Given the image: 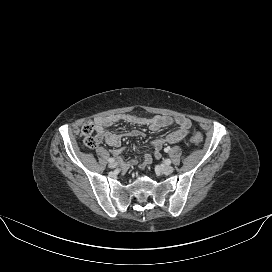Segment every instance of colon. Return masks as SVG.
<instances>
[{
	"instance_id": "obj_1",
	"label": "colon",
	"mask_w": 272,
	"mask_h": 272,
	"mask_svg": "<svg viewBox=\"0 0 272 272\" xmlns=\"http://www.w3.org/2000/svg\"><path fill=\"white\" fill-rule=\"evenodd\" d=\"M94 124L92 121H87L83 124L81 128V133L83 136V143L89 148L96 146V138L93 136ZM190 141L194 144H200L203 141V137L200 133H194L190 137Z\"/></svg>"
}]
</instances>
